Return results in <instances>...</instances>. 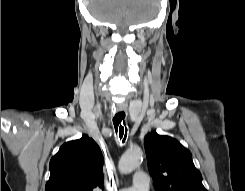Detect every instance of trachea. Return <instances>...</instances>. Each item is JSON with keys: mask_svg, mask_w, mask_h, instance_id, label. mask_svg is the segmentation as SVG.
Segmentation results:
<instances>
[{"mask_svg": "<svg viewBox=\"0 0 245 191\" xmlns=\"http://www.w3.org/2000/svg\"><path fill=\"white\" fill-rule=\"evenodd\" d=\"M113 124L116 133H118L120 140L124 142L127 138V127L125 121V112L120 111L118 112L115 117L113 118Z\"/></svg>", "mask_w": 245, "mask_h": 191, "instance_id": "obj_1", "label": "trachea"}]
</instances>
